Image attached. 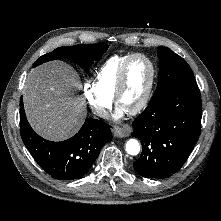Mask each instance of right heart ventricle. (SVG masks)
Listing matches in <instances>:
<instances>
[{
  "instance_id": "e07e8e85",
  "label": "right heart ventricle",
  "mask_w": 221,
  "mask_h": 221,
  "mask_svg": "<svg viewBox=\"0 0 221 221\" xmlns=\"http://www.w3.org/2000/svg\"><path fill=\"white\" fill-rule=\"evenodd\" d=\"M131 55L111 56L97 70L94 75V84L102 94L113 98L121 68Z\"/></svg>"
}]
</instances>
